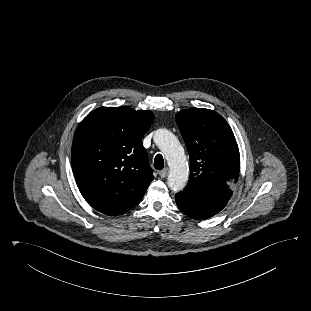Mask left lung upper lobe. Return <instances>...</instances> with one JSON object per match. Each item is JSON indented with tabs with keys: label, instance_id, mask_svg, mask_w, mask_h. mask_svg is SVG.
<instances>
[{
	"label": "left lung upper lobe",
	"instance_id": "5c2ea615",
	"mask_svg": "<svg viewBox=\"0 0 311 311\" xmlns=\"http://www.w3.org/2000/svg\"><path fill=\"white\" fill-rule=\"evenodd\" d=\"M190 157L191 188L228 202L239 177L240 155L234 134L218 113L201 108L176 114Z\"/></svg>",
	"mask_w": 311,
	"mask_h": 311
}]
</instances>
